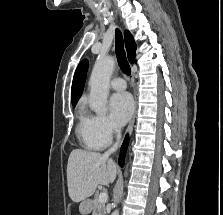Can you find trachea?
<instances>
[{"label":"trachea","mask_w":223,"mask_h":215,"mask_svg":"<svg viewBox=\"0 0 223 215\" xmlns=\"http://www.w3.org/2000/svg\"><path fill=\"white\" fill-rule=\"evenodd\" d=\"M115 50H116L117 62L122 72L125 73L126 75H131V69L126 58V52L124 50V41L122 33L119 29L116 30Z\"/></svg>","instance_id":"obj_1"}]
</instances>
